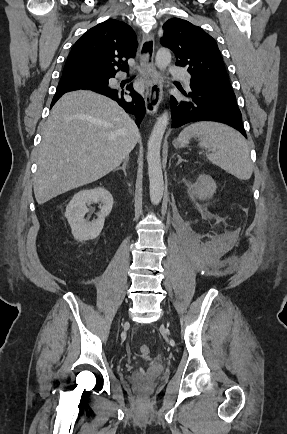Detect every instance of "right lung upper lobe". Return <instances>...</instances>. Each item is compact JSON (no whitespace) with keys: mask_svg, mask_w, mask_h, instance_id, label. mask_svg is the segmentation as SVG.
I'll list each match as a JSON object with an SVG mask.
<instances>
[{"mask_svg":"<svg viewBox=\"0 0 287 434\" xmlns=\"http://www.w3.org/2000/svg\"><path fill=\"white\" fill-rule=\"evenodd\" d=\"M136 48L137 40L132 28L124 22L108 19L89 29L74 44L63 74L90 73L114 77L119 70L128 72L127 61L122 59L133 58ZM60 82L86 83L65 79Z\"/></svg>","mask_w":287,"mask_h":434,"instance_id":"obj_1","label":"right lung upper lobe"}]
</instances>
